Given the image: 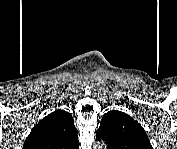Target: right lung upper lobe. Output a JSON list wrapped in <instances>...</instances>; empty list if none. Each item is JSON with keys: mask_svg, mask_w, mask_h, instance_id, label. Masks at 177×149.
Listing matches in <instances>:
<instances>
[{"mask_svg": "<svg viewBox=\"0 0 177 149\" xmlns=\"http://www.w3.org/2000/svg\"><path fill=\"white\" fill-rule=\"evenodd\" d=\"M77 129L72 115L56 110L42 119L28 135L26 149H78Z\"/></svg>", "mask_w": 177, "mask_h": 149, "instance_id": "obj_1", "label": "right lung upper lobe"}]
</instances>
